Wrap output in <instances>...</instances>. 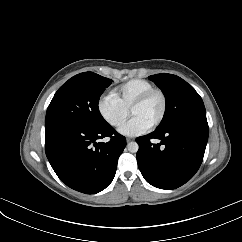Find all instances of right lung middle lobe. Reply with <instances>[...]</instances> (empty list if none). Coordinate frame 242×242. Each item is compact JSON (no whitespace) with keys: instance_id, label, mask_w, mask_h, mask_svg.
<instances>
[{"instance_id":"obj_1","label":"right lung middle lobe","mask_w":242,"mask_h":242,"mask_svg":"<svg viewBox=\"0 0 242 242\" xmlns=\"http://www.w3.org/2000/svg\"><path fill=\"white\" fill-rule=\"evenodd\" d=\"M111 83V79L92 72L70 78L59 88L49 104L45 126L59 122H75L93 127L107 125L99 112L98 102Z\"/></svg>"}]
</instances>
